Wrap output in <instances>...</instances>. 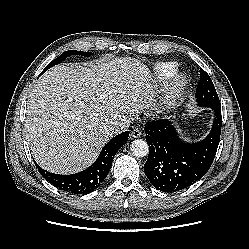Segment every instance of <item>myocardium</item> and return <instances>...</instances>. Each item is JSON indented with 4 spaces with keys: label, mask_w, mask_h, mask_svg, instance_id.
<instances>
[{
    "label": "myocardium",
    "mask_w": 249,
    "mask_h": 249,
    "mask_svg": "<svg viewBox=\"0 0 249 249\" xmlns=\"http://www.w3.org/2000/svg\"><path fill=\"white\" fill-rule=\"evenodd\" d=\"M187 85V75L182 72H175L167 84V89L163 100L164 107H170L173 105L181 97Z\"/></svg>",
    "instance_id": "myocardium-1"
}]
</instances>
